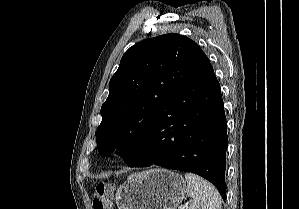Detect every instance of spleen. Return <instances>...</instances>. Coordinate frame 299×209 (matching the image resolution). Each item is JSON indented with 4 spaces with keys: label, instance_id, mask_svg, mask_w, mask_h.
Returning <instances> with one entry per match:
<instances>
[{
    "label": "spleen",
    "instance_id": "spleen-1",
    "mask_svg": "<svg viewBox=\"0 0 299 209\" xmlns=\"http://www.w3.org/2000/svg\"><path fill=\"white\" fill-rule=\"evenodd\" d=\"M185 179L186 194L192 198L189 209H221V196L210 182L193 173H185Z\"/></svg>",
    "mask_w": 299,
    "mask_h": 209
}]
</instances>
